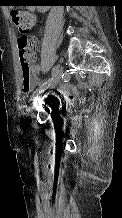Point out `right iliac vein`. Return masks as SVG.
I'll use <instances>...</instances> for the list:
<instances>
[{
  "instance_id": "1",
  "label": "right iliac vein",
  "mask_w": 122,
  "mask_h": 218,
  "mask_svg": "<svg viewBox=\"0 0 122 218\" xmlns=\"http://www.w3.org/2000/svg\"><path fill=\"white\" fill-rule=\"evenodd\" d=\"M55 75L53 76L52 79L49 80L47 85L43 87L42 91L34 98L32 107L29 108V112L34 108V106L37 104L38 99L40 98L41 94L44 93L47 89H53L57 86V84L60 81L61 78V73H62V68L57 65L55 66Z\"/></svg>"
}]
</instances>
